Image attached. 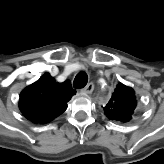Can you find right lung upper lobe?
Returning <instances> with one entry per match:
<instances>
[{"label":"right lung upper lobe","mask_w":164,"mask_h":164,"mask_svg":"<svg viewBox=\"0 0 164 164\" xmlns=\"http://www.w3.org/2000/svg\"><path fill=\"white\" fill-rule=\"evenodd\" d=\"M76 93L69 80L56 83L46 73L20 94L19 108L33 123H47L67 109V102Z\"/></svg>","instance_id":"right-lung-upper-lobe-1"}]
</instances>
